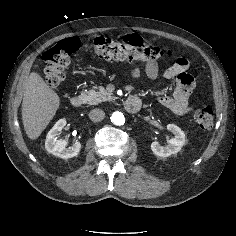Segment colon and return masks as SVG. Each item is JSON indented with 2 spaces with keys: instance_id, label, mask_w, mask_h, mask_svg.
<instances>
[{
  "instance_id": "1",
  "label": "colon",
  "mask_w": 236,
  "mask_h": 236,
  "mask_svg": "<svg viewBox=\"0 0 236 236\" xmlns=\"http://www.w3.org/2000/svg\"><path fill=\"white\" fill-rule=\"evenodd\" d=\"M79 48V40L75 37L59 41L43 54L45 62L44 80L52 86H59L65 79V69L70 62V56ZM89 49L103 59H115L149 63L168 56L169 51L156 46H144L141 43L116 41L106 37L96 38ZM196 123L205 130L212 128L214 113L211 108L202 107L195 111Z\"/></svg>"
}]
</instances>
